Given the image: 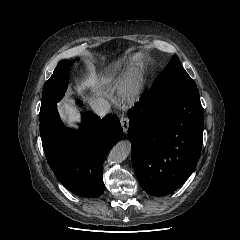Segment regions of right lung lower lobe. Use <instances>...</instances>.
<instances>
[{
    "label": "right lung lower lobe",
    "instance_id": "right-lung-lower-lobe-1",
    "mask_svg": "<svg viewBox=\"0 0 240 240\" xmlns=\"http://www.w3.org/2000/svg\"><path fill=\"white\" fill-rule=\"evenodd\" d=\"M79 130L66 128L57 109L40 121L42 146L49 166L60 183L77 196L96 198L103 194V160L122 138L115 114L100 118L83 112Z\"/></svg>",
    "mask_w": 240,
    "mask_h": 240
}]
</instances>
